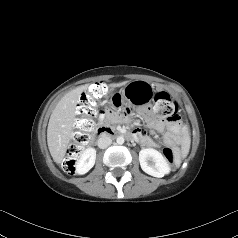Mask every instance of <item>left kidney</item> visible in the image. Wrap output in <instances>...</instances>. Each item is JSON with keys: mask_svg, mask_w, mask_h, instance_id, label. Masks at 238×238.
<instances>
[{"mask_svg": "<svg viewBox=\"0 0 238 238\" xmlns=\"http://www.w3.org/2000/svg\"><path fill=\"white\" fill-rule=\"evenodd\" d=\"M139 162L142 170L151 176L161 178L170 173V166L163 155L153 148L142 149Z\"/></svg>", "mask_w": 238, "mask_h": 238, "instance_id": "5707ae66", "label": "left kidney"}]
</instances>
